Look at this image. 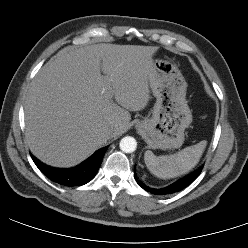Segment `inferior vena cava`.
Returning <instances> with one entry per match:
<instances>
[{"label": "inferior vena cava", "mask_w": 248, "mask_h": 248, "mask_svg": "<svg viewBox=\"0 0 248 248\" xmlns=\"http://www.w3.org/2000/svg\"><path fill=\"white\" fill-rule=\"evenodd\" d=\"M113 133H114V128H113V127L107 128V129L105 130V134H106L107 136H112Z\"/></svg>", "instance_id": "obj_1"}]
</instances>
